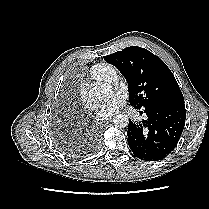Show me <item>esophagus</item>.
Listing matches in <instances>:
<instances>
[{
    "mask_svg": "<svg viewBox=\"0 0 209 209\" xmlns=\"http://www.w3.org/2000/svg\"><path fill=\"white\" fill-rule=\"evenodd\" d=\"M108 123H109V121H102V122L100 123V125H101V126H106Z\"/></svg>",
    "mask_w": 209,
    "mask_h": 209,
    "instance_id": "obj_1",
    "label": "esophagus"
}]
</instances>
